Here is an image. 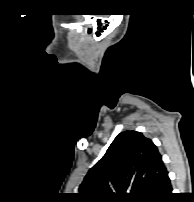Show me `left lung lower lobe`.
I'll return each mask as SVG.
<instances>
[{
    "mask_svg": "<svg viewBox=\"0 0 194 202\" xmlns=\"http://www.w3.org/2000/svg\"><path fill=\"white\" fill-rule=\"evenodd\" d=\"M172 197V187L170 183V179L168 177V172L165 171L162 174L160 179V183L155 193V197L153 198V202H169Z\"/></svg>",
    "mask_w": 194,
    "mask_h": 202,
    "instance_id": "1",
    "label": "left lung lower lobe"
}]
</instances>
